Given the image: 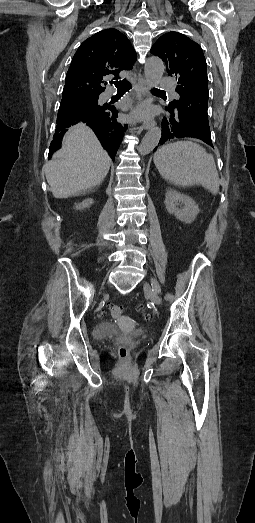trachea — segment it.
I'll list each match as a JSON object with an SVG mask.
<instances>
[{
  "label": "trachea",
  "mask_w": 255,
  "mask_h": 523,
  "mask_svg": "<svg viewBox=\"0 0 255 523\" xmlns=\"http://www.w3.org/2000/svg\"><path fill=\"white\" fill-rule=\"evenodd\" d=\"M114 85L118 91H128L131 88V83L128 82V80H121L120 82H114ZM151 92L152 93H155V92L165 93L164 90H159L157 88H152Z\"/></svg>",
  "instance_id": "obj_1"
}]
</instances>
